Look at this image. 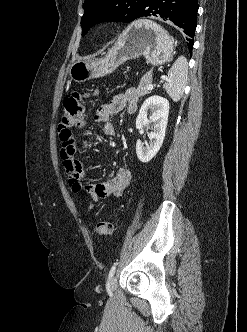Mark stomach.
Listing matches in <instances>:
<instances>
[{
	"label": "stomach",
	"mask_w": 247,
	"mask_h": 332,
	"mask_svg": "<svg viewBox=\"0 0 247 332\" xmlns=\"http://www.w3.org/2000/svg\"><path fill=\"white\" fill-rule=\"evenodd\" d=\"M173 54V40L168 33L151 20L139 19L127 27L104 57L73 62L69 76L82 83L106 76L130 59L144 56L148 64L160 66L171 61Z\"/></svg>",
	"instance_id": "obj_1"
}]
</instances>
